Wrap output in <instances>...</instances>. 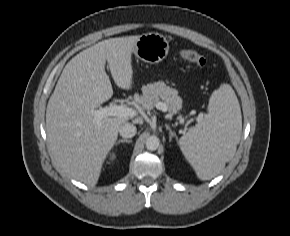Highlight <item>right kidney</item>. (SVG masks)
Masks as SVG:
<instances>
[{"label":"right kidney","mask_w":290,"mask_h":236,"mask_svg":"<svg viewBox=\"0 0 290 236\" xmlns=\"http://www.w3.org/2000/svg\"><path fill=\"white\" fill-rule=\"evenodd\" d=\"M115 158H116V154L113 153V154L110 156V160L113 161Z\"/></svg>","instance_id":"ca27d5eb"}]
</instances>
